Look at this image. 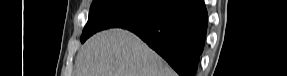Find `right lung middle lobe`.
Masks as SVG:
<instances>
[{
  "label": "right lung middle lobe",
  "instance_id": "obj_1",
  "mask_svg": "<svg viewBox=\"0 0 287 76\" xmlns=\"http://www.w3.org/2000/svg\"><path fill=\"white\" fill-rule=\"evenodd\" d=\"M170 0H93L81 41L108 28L140 26L160 13Z\"/></svg>",
  "mask_w": 287,
  "mask_h": 76
}]
</instances>
